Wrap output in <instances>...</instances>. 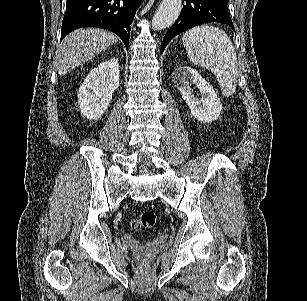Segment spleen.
I'll use <instances>...</instances> for the list:
<instances>
[{"instance_id":"obj_1","label":"spleen","mask_w":307,"mask_h":301,"mask_svg":"<svg viewBox=\"0 0 307 301\" xmlns=\"http://www.w3.org/2000/svg\"><path fill=\"white\" fill-rule=\"evenodd\" d=\"M182 42L193 64L210 68L224 96H232L237 86L238 60L228 34L210 24L193 26L183 34Z\"/></svg>"}]
</instances>
